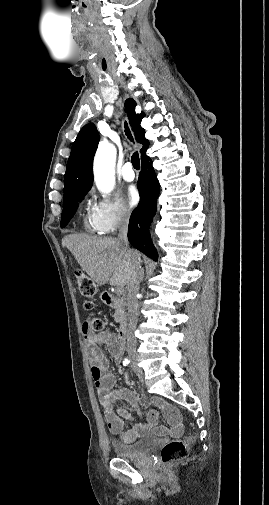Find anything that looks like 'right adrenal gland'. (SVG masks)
<instances>
[{
  "mask_svg": "<svg viewBox=\"0 0 269 505\" xmlns=\"http://www.w3.org/2000/svg\"><path fill=\"white\" fill-rule=\"evenodd\" d=\"M143 275H144V272H142V277H143Z\"/></svg>",
  "mask_w": 269,
  "mask_h": 505,
  "instance_id": "right-adrenal-gland-1",
  "label": "right adrenal gland"
}]
</instances>
